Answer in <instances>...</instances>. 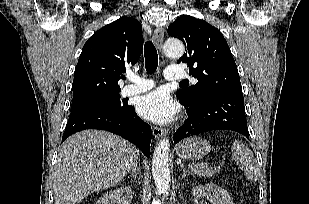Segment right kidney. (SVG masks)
Returning a JSON list of instances; mask_svg holds the SVG:
<instances>
[{
	"instance_id": "ca27d5eb",
	"label": "right kidney",
	"mask_w": 309,
	"mask_h": 204,
	"mask_svg": "<svg viewBox=\"0 0 309 204\" xmlns=\"http://www.w3.org/2000/svg\"><path fill=\"white\" fill-rule=\"evenodd\" d=\"M132 199V190L129 187H120L105 193L96 204H130ZM118 204V203H117Z\"/></svg>"
}]
</instances>
